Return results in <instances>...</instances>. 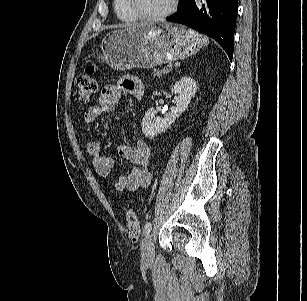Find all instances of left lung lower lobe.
<instances>
[{
  "instance_id": "1",
  "label": "left lung lower lobe",
  "mask_w": 307,
  "mask_h": 301,
  "mask_svg": "<svg viewBox=\"0 0 307 301\" xmlns=\"http://www.w3.org/2000/svg\"><path fill=\"white\" fill-rule=\"evenodd\" d=\"M237 0H179V10L169 22L187 25L215 39L232 60Z\"/></svg>"
}]
</instances>
